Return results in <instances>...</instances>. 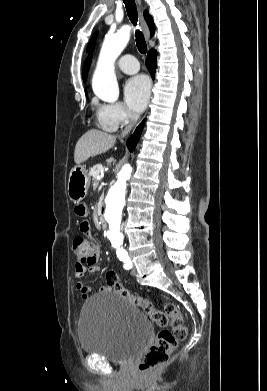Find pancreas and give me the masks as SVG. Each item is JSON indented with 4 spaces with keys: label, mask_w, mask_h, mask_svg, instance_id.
<instances>
[{
    "label": "pancreas",
    "mask_w": 267,
    "mask_h": 391,
    "mask_svg": "<svg viewBox=\"0 0 267 391\" xmlns=\"http://www.w3.org/2000/svg\"><path fill=\"white\" fill-rule=\"evenodd\" d=\"M103 170V165L102 164H96L91 168L90 170V176L93 178L94 182L97 183V176L102 172Z\"/></svg>",
    "instance_id": "pancreas-1"
}]
</instances>
